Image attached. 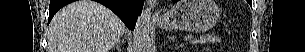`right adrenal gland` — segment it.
I'll return each instance as SVG.
<instances>
[{"label": "right adrenal gland", "mask_w": 305, "mask_h": 52, "mask_svg": "<svg viewBox=\"0 0 305 52\" xmlns=\"http://www.w3.org/2000/svg\"><path fill=\"white\" fill-rule=\"evenodd\" d=\"M122 42H123L122 40H119L118 43L115 44L111 49L113 50L116 48L118 50V52H120V47H121Z\"/></svg>", "instance_id": "1"}]
</instances>
